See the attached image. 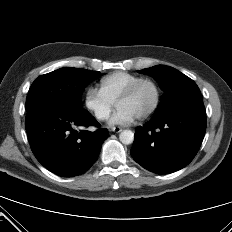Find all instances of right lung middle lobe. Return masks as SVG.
I'll use <instances>...</instances> for the list:
<instances>
[{
    "label": "right lung middle lobe",
    "mask_w": 232,
    "mask_h": 232,
    "mask_svg": "<svg viewBox=\"0 0 232 232\" xmlns=\"http://www.w3.org/2000/svg\"><path fill=\"white\" fill-rule=\"evenodd\" d=\"M99 72L65 67L39 76L31 85L26 110L36 106H55L82 110V93Z\"/></svg>",
    "instance_id": "right-lung-middle-lobe-1"
}]
</instances>
